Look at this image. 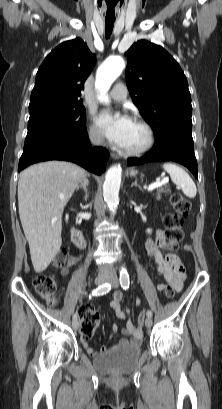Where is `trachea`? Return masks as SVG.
<instances>
[{"label":"trachea","mask_w":222,"mask_h":409,"mask_svg":"<svg viewBox=\"0 0 222 409\" xmlns=\"http://www.w3.org/2000/svg\"><path fill=\"white\" fill-rule=\"evenodd\" d=\"M114 21L113 19L110 20H105V29H106V38H110V35L112 33L113 30V26H114Z\"/></svg>","instance_id":"1"}]
</instances>
